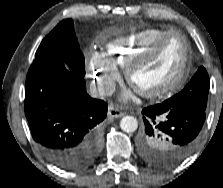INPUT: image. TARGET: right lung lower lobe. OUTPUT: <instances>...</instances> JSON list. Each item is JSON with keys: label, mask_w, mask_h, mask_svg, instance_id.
I'll list each match as a JSON object with an SVG mask.
<instances>
[{"label": "right lung lower lobe", "mask_w": 223, "mask_h": 188, "mask_svg": "<svg viewBox=\"0 0 223 188\" xmlns=\"http://www.w3.org/2000/svg\"><path fill=\"white\" fill-rule=\"evenodd\" d=\"M24 106L32 137L51 163L76 171L96 158L107 104L87 94L83 77L60 61L32 64Z\"/></svg>", "instance_id": "98d812e1"}]
</instances>
